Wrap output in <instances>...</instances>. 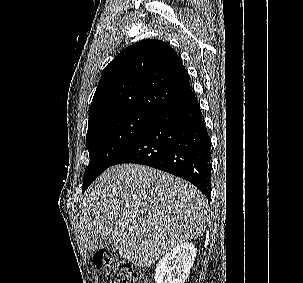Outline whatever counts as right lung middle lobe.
Returning a JSON list of instances; mask_svg holds the SVG:
<instances>
[{
	"label": "right lung middle lobe",
	"mask_w": 303,
	"mask_h": 283,
	"mask_svg": "<svg viewBox=\"0 0 303 283\" xmlns=\"http://www.w3.org/2000/svg\"><path fill=\"white\" fill-rule=\"evenodd\" d=\"M155 116L139 111L123 112L88 126L86 147L90 163L85 169L83 192L133 143Z\"/></svg>",
	"instance_id": "dd1d6c3e"
}]
</instances>
